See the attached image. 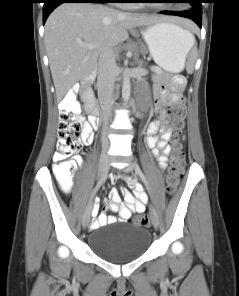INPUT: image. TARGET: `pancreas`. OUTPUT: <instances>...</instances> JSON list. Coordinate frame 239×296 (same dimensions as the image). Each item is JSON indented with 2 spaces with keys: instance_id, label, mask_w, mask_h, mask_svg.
Masks as SVG:
<instances>
[{
  "instance_id": "1",
  "label": "pancreas",
  "mask_w": 239,
  "mask_h": 296,
  "mask_svg": "<svg viewBox=\"0 0 239 296\" xmlns=\"http://www.w3.org/2000/svg\"><path fill=\"white\" fill-rule=\"evenodd\" d=\"M155 69V72L157 73V75L155 76V78H159L161 75H163V70L159 67H153Z\"/></svg>"
}]
</instances>
